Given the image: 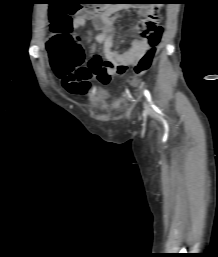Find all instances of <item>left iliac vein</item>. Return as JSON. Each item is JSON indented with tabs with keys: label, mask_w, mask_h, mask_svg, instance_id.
Segmentation results:
<instances>
[{
	"label": "left iliac vein",
	"mask_w": 218,
	"mask_h": 257,
	"mask_svg": "<svg viewBox=\"0 0 218 257\" xmlns=\"http://www.w3.org/2000/svg\"><path fill=\"white\" fill-rule=\"evenodd\" d=\"M143 106H144V109H145V112H146V113H151V109H150V107L148 106V104H147L146 101L143 102Z\"/></svg>",
	"instance_id": "1"
}]
</instances>
